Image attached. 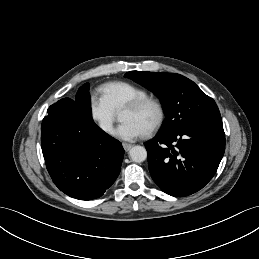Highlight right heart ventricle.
<instances>
[{"mask_svg": "<svg viewBox=\"0 0 259 259\" xmlns=\"http://www.w3.org/2000/svg\"><path fill=\"white\" fill-rule=\"evenodd\" d=\"M100 90L102 92V97L116 112L120 111L127 103L148 96L147 91L143 88L125 81L106 83Z\"/></svg>", "mask_w": 259, "mask_h": 259, "instance_id": "1", "label": "right heart ventricle"}]
</instances>
